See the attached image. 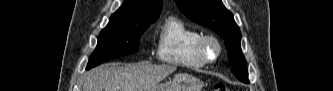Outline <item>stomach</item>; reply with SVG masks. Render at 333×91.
<instances>
[{"label": "stomach", "instance_id": "1", "mask_svg": "<svg viewBox=\"0 0 333 91\" xmlns=\"http://www.w3.org/2000/svg\"><path fill=\"white\" fill-rule=\"evenodd\" d=\"M203 83L189 74H176L172 80L157 84L152 91H201Z\"/></svg>", "mask_w": 333, "mask_h": 91}]
</instances>
